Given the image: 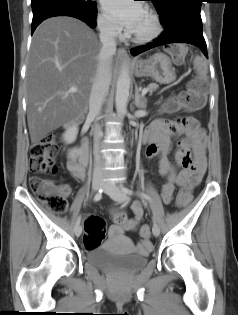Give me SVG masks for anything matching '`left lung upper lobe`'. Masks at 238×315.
<instances>
[{"instance_id":"5c2ea615","label":"left lung upper lobe","mask_w":238,"mask_h":315,"mask_svg":"<svg viewBox=\"0 0 238 315\" xmlns=\"http://www.w3.org/2000/svg\"><path fill=\"white\" fill-rule=\"evenodd\" d=\"M152 1L156 7L161 18L169 16L175 10L186 5H200L202 0H149Z\"/></svg>"}]
</instances>
